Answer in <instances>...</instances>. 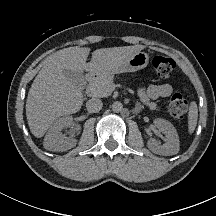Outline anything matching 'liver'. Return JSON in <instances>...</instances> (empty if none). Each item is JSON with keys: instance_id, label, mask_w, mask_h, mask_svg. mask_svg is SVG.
Here are the masks:
<instances>
[{"instance_id": "6515ba94", "label": "liver", "mask_w": 216, "mask_h": 216, "mask_svg": "<svg viewBox=\"0 0 216 216\" xmlns=\"http://www.w3.org/2000/svg\"><path fill=\"white\" fill-rule=\"evenodd\" d=\"M144 49L143 45L97 49L86 63L88 47H69L49 56L35 77L26 101V117L31 133L41 138L51 124L63 115L81 109L83 94L63 70L89 71L92 74L109 71Z\"/></svg>"}]
</instances>
